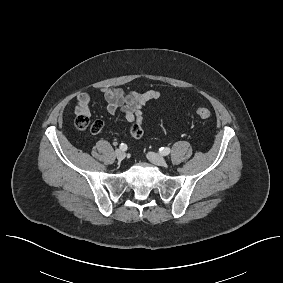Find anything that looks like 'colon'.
Returning <instances> with one entry per match:
<instances>
[{
	"label": "colon",
	"mask_w": 283,
	"mask_h": 283,
	"mask_svg": "<svg viewBox=\"0 0 283 283\" xmlns=\"http://www.w3.org/2000/svg\"><path fill=\"white\" fill-rule=\"evenodd\" d=\"M196 114L201 119H209L211 117V111L205 107H199L196 109ZM76 127L81 131H90L93 134L100 133L103 129V122L96 121L92 125L89 124L87 116L78 115L75 120Z\"/></svg>",
	"instance_id": "1"
}]
</instances>
